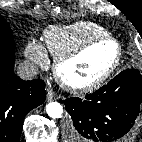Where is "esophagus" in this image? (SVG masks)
Segmentation results:
<instances>
[{
  "label": "esophagus",
  "instance_id": "esophagus-1",
  "mask_svg": "<svg viewBox=\"0 0 142 142\" xmlns=\"http://www.w3.org/2000/svg\"><path fill=\"white\" fill-rule=\"evenodd\" d=\"M54 97H55V93L52 90L48 89L47 90V101H52Z\"/></svg>",
  "mask_w": 142,
  "mask_h": 142
}]
</instances>
